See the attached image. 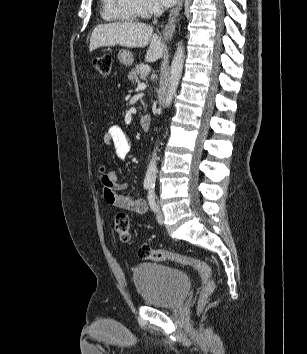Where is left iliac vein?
I'll list each match as a JSON object with an SVG mask.
<instances>
[{"mask_svg":"<svg viewBox=\"0 0 307 354\" xmlns=\"http://www.w3.org/2000/svg\"><path fill=\"white\" fill-rule=\"evenodd\" d=\"M156 211H157L156 218H157L158 223L163 224L164 217H163V213H162V210L159 205H157Z\"/></svg>","mask_w":307,"mask_h":354,"instance_id":"obj_1","label":"left iliac vein"}]
</instances>
